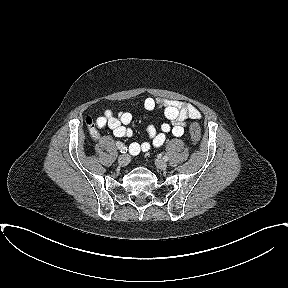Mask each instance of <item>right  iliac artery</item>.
<instances>
[{
  "instance_id": "right-iliac-artery-1",
  "label": "right iliac artery",
  "mask_w": 288,
  "mask_h": 288,
  "mask_svg": "<svg viewBox=\"0 0 288 288\" xmlns=\"http://www.w3.org/2000/svg\"><path fill=\"white\" fill-rule=\"evenodd\" d=\"M116 146H117V148L120 150V152H121V149H122V147H124V144L122 143V142H120V141H117L116 142Z\"/></svg>"
}]
</instances>
